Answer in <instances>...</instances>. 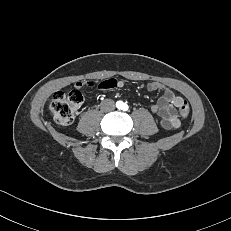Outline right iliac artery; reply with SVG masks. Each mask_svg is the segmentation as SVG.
Masks as SVG:
<instances>
[{
    "label": "right iliac artery",
    "mask_w": 231,
    "mask_h": 231,
    "mask_svg": "<svg viewBox=\"0 0 231 231\" xmlns=\"http://www.w3.org/2000/svg\"><path fill=\"white\" fill-rule=\"evenodd\" d=\"M117 106H118V107H121V106H122V103H121V102H118V103H117Z\"/></svg>",
    "instance_id": "right-iliac-artery-1"
}]
</instances>
